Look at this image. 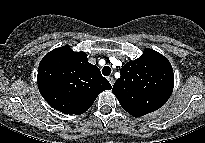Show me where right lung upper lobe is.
Here are the masks:
<instances>
[{"mask_svg":"<svg viewBox=\"0 0 205 143\" xmlns=\"http://www.w3.org/2000/svg\"><path fill=\"white\" fill-rule=\"evenodd\" d=\"M38 88L54 109L65 114H82L93 104L98 94L111 89L84 52H74L68 45L46 54L38 67Z\"/></svg>","mask_w":205,"mask_h":143,"instance_id":"right-lung-upper-lobe-1","label":"right lung upper lobe"}]
</instances>
